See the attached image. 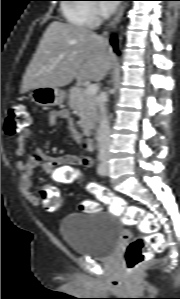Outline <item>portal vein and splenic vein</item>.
<instances>
[{
  "mask_svg": "<svg viewBox=\"0 0 180 299\" xmlns=\"http://www.w3.org/2000/svg\"><path fill=\"white\" fill-rule=\"evenodd\" d=\"M85 93L86 94H89V95H94L97 93L98 91V86L96 84H91V85H88L86 88H85Z\"/></svg>",
  "mask_w": 180,
  "mask_h": 299,
  "instance_id": "obj_1",
  "label": "portal vein and splenic vein"
}]
</instances>
